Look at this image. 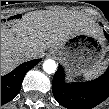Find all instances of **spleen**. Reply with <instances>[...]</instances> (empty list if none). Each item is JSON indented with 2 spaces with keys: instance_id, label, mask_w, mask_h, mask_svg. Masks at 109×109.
Wrapping results in <instances>:
<instances>
[{
  "instance_id": "1",
  "label": "spleen",
  "mask_w": 109,
  "mask_h": 109,
  "mask_svg": "<svg viewBox=\"0 0 109 109\" xmlns=\"http://www.w3.org/2000/svg\"><path fill=\"white\" fill-rule=\"evenodd\" d=\"M106 65H107V62H104L101 65H99V67L97 69L91 70V71H86L83 74L84 78L87 80L95 78L96 76H98L105 70Z\"/></svg>"
}]
</instances>
